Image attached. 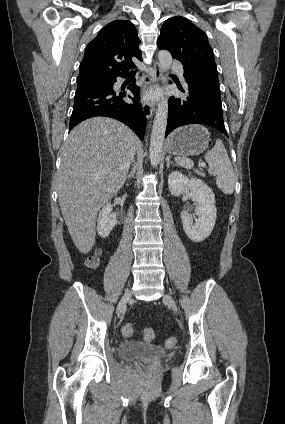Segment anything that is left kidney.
I'll return each mask as SVG.
<instances>
[{
    "mask_svg": "<svg viewBox=\"0 0 285 424\" xmlns=\"http://www.w3.org/2000/svg\"><path fill=\"white\" fill-rule=\"evenodd\" d=\"M168 186L172 195L179 196L184 191H190L191 196L196 201L195 213L198 216L193 224V217L188 211L181 212L183 228L190 240L201 242L212 232L217 209L215 206V195L212 189L201 179L188 178L178 171H172L168 177Z\"/></svg>",
    "mask_w": 285,
    "mask_h": 424,
    "instance_id": "left-kidney-1",
    "label": "left kidney"
}]
</instances>
